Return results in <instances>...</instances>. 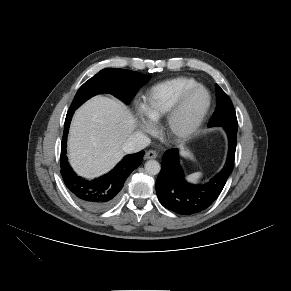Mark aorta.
<instances>
[{
	"label": "aorta",
	"mask_w": 291,
	"mask_h": 291,
	"mask_svg": "<svg viewBox=\"0 0 291 291\" xmlns=\"http://www.w3.org/2000/svg\"><path fill=\"white\" fill-rule=\"evenodd\" d=\"M160 170V164L156 160H149L145 163V171L149 175H157Z\"/></svg>",
	"instance_id": "762f6f07"
}]
</instances>
